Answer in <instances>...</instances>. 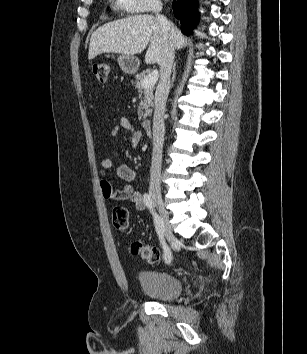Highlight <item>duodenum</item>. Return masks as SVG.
Segmentation results:
<instances>
[{
  "instance_id": "410a0bca",
  "label": "duodenum",
  "mask_w": 307,
  "mask_h": 354,
  "mask_svg": "<svg viewBox=\"0 0 307 354\" xmlns=\"http://www.w3.org/2000/svg\"><path fill=\"white\" fill-rule=\"evenodd\" d=\"M142 128L148 135H152V121L149 119H145L142 122Z\"/></svg>"
}]
</instances>
